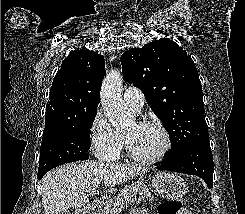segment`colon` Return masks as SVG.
<instances>
[{
	"label": "colon",
	"mask_w": 245,
	"mask_h": 214,
	"mask_svg": "<svg viewBox=\"0 0 245 214\" xmlns=\"http://www.w3.org/2000/svg\"><path fill=\"white\" fill-rule=\"evenodd\" d=\"M159 214H193L189 210L182 209V204L178 200H166L158 207Z\"/></svg>",
	"instance_id": "colon-1"
}]
</instances>
